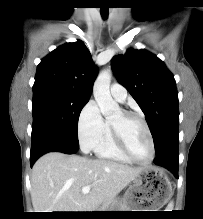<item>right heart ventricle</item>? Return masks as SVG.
Listing matches in <instances>:
<instances>
[{
    "label": "right heart ventricle",
    "instance_id": "1",
    "mask_svg": "<svg viewBox=\"0 0 203 219\" xmlns=\"http://www.w3.org/2000/svg\"><path fill=\"white\" fill-rule=\"evenodd\" d=\"M94 151L96 155L102 159H108L122 163L131 162L118 148L113 136L110 121H105L104 132Z\"/></svg>",
    "mask_w": 203,
    "mask_h": 219
}]
</instances>
